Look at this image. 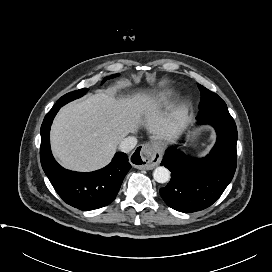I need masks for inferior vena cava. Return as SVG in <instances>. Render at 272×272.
Returning <instances> with one entry per match:
<instances>
[{"instance_id":"inferior-vena-cava-1","label":"inferior vena cava","mask_w":272,"mask_h":272,"mask_svg":"<svg viewBox=\"0 0 272 272\" xmlns=\"http://www.w3.org/2000/svg\"><path fill=\"white\" fill-rule=\"evenodd\" d=\"M137 144V139L135 137L129 136L121 141L119 145L120 151L124 153H129Z\"/></svg>"}]
</instances>
